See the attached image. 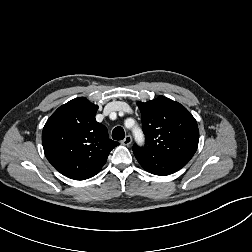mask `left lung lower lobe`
Here are the masks:
<instances>
[{
    "label": "left lung lower lobe",
    "instance_id": "0a47b994",
    "mask_svg": "<svg viewBox=\"0 0 252 252\" xmlns=\"http://www.w3.org/2000/svg\"><path fill=\"white\" fill-rule=\"evenodd\" d=\"M140 165L155 175H169L184 167L188 160L175 157L138 158Z\"/></svg>",
    "mask_w": 252,
    "mask_h": 252
}]
</instances>
